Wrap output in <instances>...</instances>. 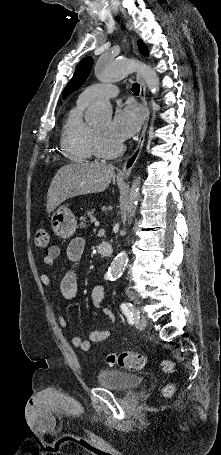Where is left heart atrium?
Here are the masks:
<instances>
[{
	"mask_svg": "<svg viewBox=\"0 0 221 455\" xmlns=\"http://www.w3.org/2000/svg\"><path fill=\"white\" fill-rule=\"evenodd\" d=\"M142 114L134 104L119 107L110 123V134L116 140L124 141L140 128Z\"/></svg>",
	"mask_w": 221,
	"mask_h": 455,
	"instance_id": "1",
	"label": "left heart atrium"
}]
</instances>
